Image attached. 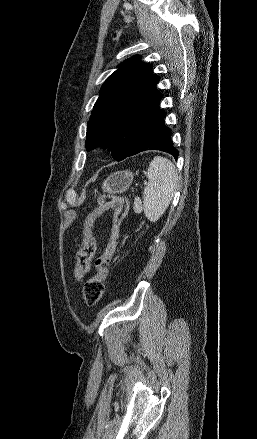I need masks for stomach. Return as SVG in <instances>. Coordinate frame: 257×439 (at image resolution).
Wrapping results in <instances>:
<instances>
[{"mask_svg":"<svg viewBox=\"0 0 257 439\" xmlns=\"http://www.w3.org/2000/svg\"><path fill=\"white\" fill-rule=\"evenodd\" d=\"M134 174L131 171H118L103 182L102 189L108 194H121L127 191L132 184Z\"/></svg>","mask_w":257,"mask_h":439,"instance_id":"obj_1","label":"stomach"}]
</instances>
